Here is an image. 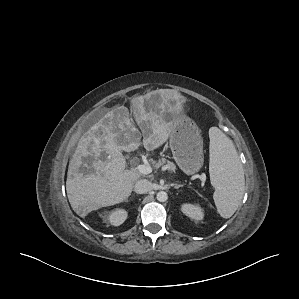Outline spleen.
<instances>
[{
	"instance_id": "obj_1",
	"label": "spleen",
	"mask_w": 299,
	"mask_h": 299,
	"mask_svg": "<svg viewBox=\"0 0 299 299\" xmlns=\"http://www.w3.org/2000/svg\"><path fill=\"white\" fill-rule=\"evenodd\" d=\"M209 173L217 211L230 218L237 210L244 194L243 167L233 142L217 127L209 130Z\"/></svg>"
}]
</instances>
